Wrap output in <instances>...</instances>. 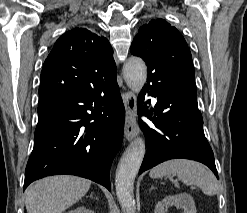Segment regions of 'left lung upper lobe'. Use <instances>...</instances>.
I'll return each mask as SVG.
<instances>
[{"instance_id": "left-lung-upper-lobe-1", "label": "left lung upper lobe", "mask_w": 247, "mask_h": 213, "mask_svg": "<svg viewBox=\"0 0 247 213\" xmlns=\"http://www.w3.org/2000/svg\"><path fill=\"white\" fill-rule=\"evenodd\" d=\"M131 54L145 61L147 79L154 78L160 83L179 79L197 92L187 43L179 31L165 20H151L140 27L131 44Z\"/></svg>"}]
</instances>
